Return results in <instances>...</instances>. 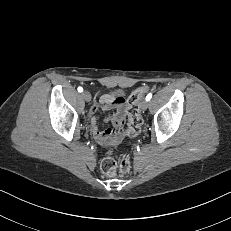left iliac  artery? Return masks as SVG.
Instances as JSON below:
<instances>
[{
	"label": "left iliac artery",
	"instance_id": "1",
	"mask_svg": "<svg viewBox=\"0 0 231 231\" xmlns=\"http://www.w3.org/2000/svg\"><path fill=\"white\" fill-rule=\"evenodd\" d=\"M151 98H152V93H149V94L146 96V101H149Z\"/></svg>",
	"mask_w": 231,
	"mask_h": 231
}]
</instances>
